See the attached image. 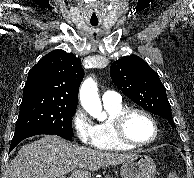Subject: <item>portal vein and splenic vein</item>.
<instances>
[{
	"label": "portal vein and splenic vein",
	"instance_id": "1",
	"mask_svg": "<svg viewBox=\"0 0 194 178\" xmlns=\"http://www.w3.org/2000/svg\"><path fill=\"white\" fill-rule=\"evenodd\" d=\"M59 178H66V177L62 175V176H60Z\"/></svg>",
	"mask_w": 194,
	"mask_h": 178
}]
</instances>
